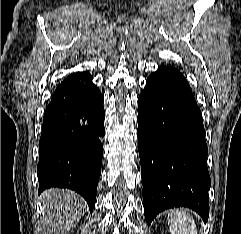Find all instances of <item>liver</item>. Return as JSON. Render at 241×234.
Returning a JSON list of instances; mask_svg holds the SVG:
<instances>
[{
    "label": "liver",
    "mask_w": 241,
    "mask_h": 234,
    "mask_svg": "<svg viewBox=\"0 0 241 234\" xmlns=\"http://www.w3.org/2000/svg\"><path fill=\"white\" fill-rule=\"evenodd\" d=\"M43 228L54 234L71 230L85 214L86 203L77 193L64 189H47L41 195Z\"/></svg>",
    "instance_id": "obj_1"
}]
</instances>
